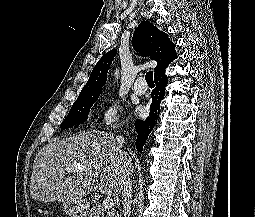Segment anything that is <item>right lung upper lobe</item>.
Segmentation results:
<instances>
[{
	"label": "right lung upper lobe",
	"mask_w": 255,
	"mask_h": 217,
	"mask_svg": "<svg viewBox=\"0 0 255 217\" xmlns=\"http://www.w3.org/2000/svg\"><path fill=\"white\" fill-rule=\"evenodd\" d=\"M132 45L137 52L148 55L152 60L158 62L154 68V76L164 72L166 66L177 57L175 45L168 39L167 34L148 21H143L138 25L133 34ZM115 55L116 49H112L103 55L93 68L89 80L80 94L101 92Z\"/></svg>",
	"instance_id": "1"
}]
</instances>
